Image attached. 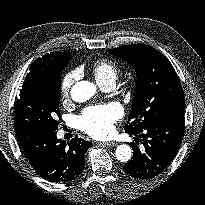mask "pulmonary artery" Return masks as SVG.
I'll return each mask as SVG.
<instances>
[{"instance_id": "pulmonary-artery-1", "label": "pulmonary artery", "mask_w": 205, "mask_h": 205, "mask_svg": "<svg viewBox=\"0 0 205 205\" xmlns=\"http://www.w3.org/2000/svg\"><path fill=\"white\" fill-rule=\"evenodd\" d=\"M103 87L107 90H110L114 87V82L106 83L105 85H103Z\"/></svg>"}]
</instances>
